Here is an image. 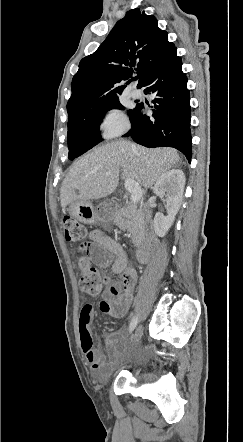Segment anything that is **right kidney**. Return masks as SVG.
<instances>
[{
    "mask_svg": "<svg viewBox=\"0 0 243 442\" xmlns=\"http://www.w3.org/2000/svg\"><path fill=\"white\" fill-rule=\"evenodd\" d=\"M185 175L180 169H172L163 174L153 187V192L160 198H166L167 216L157 212L153 226L159 237H164L172 226L183 199Z\"/></svg>",
    "mask_w": 243,
    "mask_h": 442,
    "instance_id": "obj_1",
    "label": "right kidney"
}]
</instances>
